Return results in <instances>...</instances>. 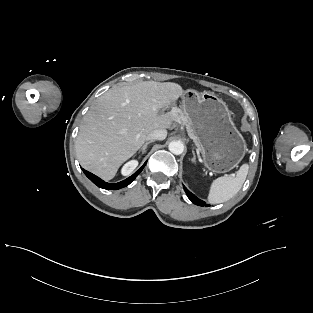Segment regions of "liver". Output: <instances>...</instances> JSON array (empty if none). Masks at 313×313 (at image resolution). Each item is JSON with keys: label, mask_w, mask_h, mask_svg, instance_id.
Returning a JSON list of instances; mask_svg holds the SVG:
<instances>
[{"label": "liver", "mask_w": 313, "mask_h": 313, "mask_svg": "<svg viewBox=\"0 0 313 313\" xmlns=\"http://www.w3.org/2000/svg\"><path fill=\"white\" fill-rule=\"evenodd\" d=\"M183 93L176 83L155 81L108 90L87 112L77 136L76 152L82 167L111 180L143 146L149 133L171 128L180 110L159 111Z\"/></svg>", "instance_id": "1"}]
</instances>
